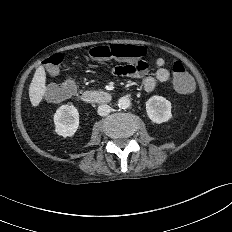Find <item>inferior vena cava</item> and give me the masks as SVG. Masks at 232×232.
<instances>
[{
	"label": "inferior vena cava",
	"mask_w": 232,
	"mask_h": 232,
	"mask_svg": "<svg viewBox=\"0 0 232 232\" xmlns=\"http://www.w3.org/2000/svg\"><path fill=\"white\" fill-rule=\"evenodd\" d=\"M111 111V107L107 104H101L99 107H98V114L100 116H107Z\"/></svg>",
	"instance_id": "inferior-vena-cava-1"
}]
</instances>
